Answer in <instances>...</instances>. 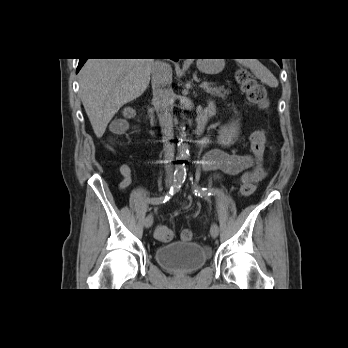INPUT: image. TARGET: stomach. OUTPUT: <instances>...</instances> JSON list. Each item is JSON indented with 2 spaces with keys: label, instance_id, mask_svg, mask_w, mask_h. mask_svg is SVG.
Returning <instances> with one entry per match:
<instances>
[{
  "label": "stomach",
  "instance_id": "1",
  "mask_svg": "<svg viewBox=\"0 0 348 348\" xmlns=\"http://www.w3.org/2000/svg\"><path fill=\"white\" fill-rule=\"evenodd\" d=\"M225 65L224 59H198L197 68L206 74L219 73Z\"/></svg>",
  "mask_w": 348,
  "mask_h": 348
}]
</instances>
